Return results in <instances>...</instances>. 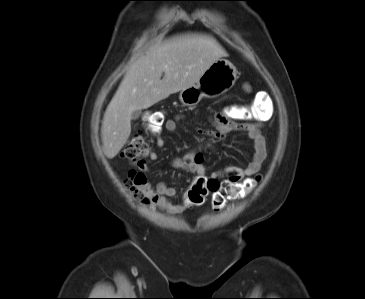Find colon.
<instances>
[{
    "label": "colon",
    "mask_w": 365,
    "mask_h": 299,
    "mask_svg": "<svg viewBox=\"0 0 365 299\" xmlns=\"http://www.w3.org/2000/svg\"><path fill=\"white\" fill-rule=\"evenodd\" d=\"M261 116L262 115H258L254 110H251L244 105H232L225 110L222 118L229 120H244L248 118L256 119ZM163 122L164 115L161 111H149L144 115V126L150 132H159ZM148 152L149 147L144 137L142 134L136 133L126 145L123 156L130 162L137 164L143 156L148 154ZM145 183V176L140 172L132 170L125 180V187L136 200L148 203L150 200L142 190ZM256 183L257 179L254 178H247L242 181L230 183H195L189 188L186 194L185 203L188 207L202 205L206 197L211 194L213 208L220 210L228 201L243 197L250 193Z\"/></svg>",
    "instance_id": "obj_1"
}]
</instances>
